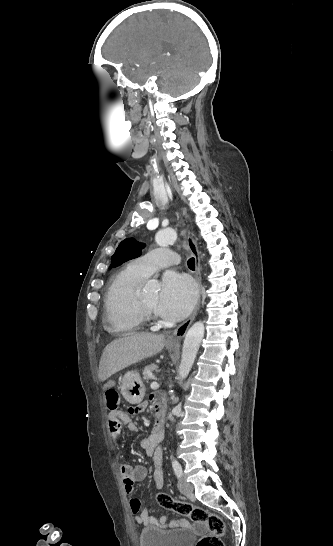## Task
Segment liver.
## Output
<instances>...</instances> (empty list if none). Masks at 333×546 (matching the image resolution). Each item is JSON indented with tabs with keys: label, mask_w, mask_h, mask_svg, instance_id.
I'll use <instances>...</instances> for the list:
<instances>
[{
	"label": "liver",
	"mask_w": 333,
	"mask_h": 546,
	"mask_svg": "<svg viewBox=\"0 0 333 546\" xmlns=\"http://www.w3.org/2000/svg\"><path fill=\"white\" fill-rule=\"evenodd\" d=\"M165 346L163 335L132 333L109 343L99 362V379L104 382L116 372L158 354Z\"/></svg>",
	"instance_id": "1"
}]
</instances>
